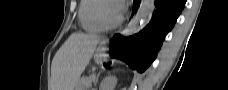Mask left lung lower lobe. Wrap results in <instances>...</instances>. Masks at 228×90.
Instances as JSON below:
<instances>
[{
  "label": "left lung lower lobe",
  "instance_id": "0a47b994",
  "mask_svg": "<svg viewBox=\"0 0 228 90\" xmlns=\"http://www.w3.org/2000/svg\"><path fill=\"white\" fill-rule=\"evenodd\" d=\"M141 0H134L133 14ZM185 0H155L157 7L149 24L138 34L121 38L119 34L110 43L113 58L125 61L131 68L143 72L152 61L166 36L174 26L185 5Z\"/></svg>",
  "mask_w": 228,
  "mask_h": 90
}]
</instances>
